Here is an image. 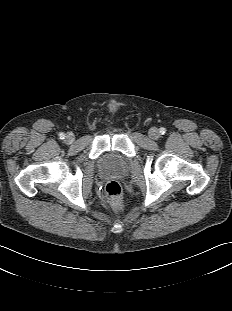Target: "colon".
<instances>
[{"label":"colon","instance_id":"1","mask_svg":"<svg viewBox=\"0 0 232 311\" xmlns=\"http://www.w3.org/2000/svg\"><path fill=\"white\" fill-rule=\"evenodd\" d=\"M106 196L108 202L114 209H119L123 203L122 188L120 184L113 180L106 185Z\"/></svg>","mask_w":232,"mask_h":311}]
</instances>
